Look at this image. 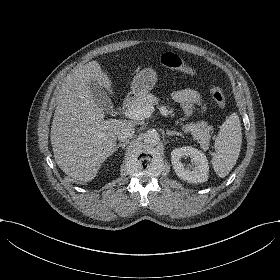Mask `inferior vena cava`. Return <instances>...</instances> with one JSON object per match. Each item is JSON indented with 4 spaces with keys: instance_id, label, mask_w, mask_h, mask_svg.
<instances>
[{
    "instance_id": "1",
    "label": "inferior vena cava",
    "mask_w": 280,
    "mask_h": 280,
    "mask_svg": "<svg viewBox=\"0 0 280 280\" xmlns=\"http://www.w3.org/2000/svg\"><path fill=\"white\" fill-rule=\"evenodd\" d=\"M135 129L131 125H123L117 131V137L121 142H127L134 135Z\"/></svg>"
}]
</instances>
